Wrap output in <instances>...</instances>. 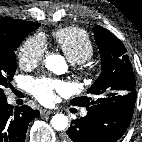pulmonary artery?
Masks as SVG:
<instances>
[{"label":"pulmonary artery","mask_w":142,"mask_h":142,"mask_svg":"<svg viewBox=\"0 0 142 142\" xmlns=\"http://www.w3.org/2000/svg\"><path fill=\"white\" fill-rule=\"evenodd\" d=\"M86 115V111H83L82 113H81V116H85Z\"/></svg>","instance_id":"obj_1"}]
</instances>
